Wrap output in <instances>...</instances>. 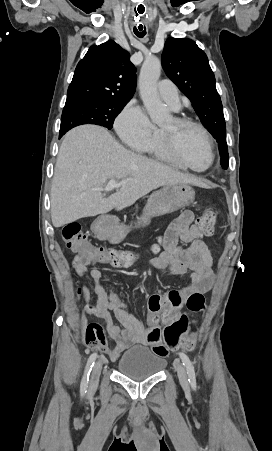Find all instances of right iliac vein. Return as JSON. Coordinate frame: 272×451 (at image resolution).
<instances>
[{
    "instance_id": "obj_1",
    "label": "right iliac vein",
    "mask_w": 272,
    "mask_h": 451,
    "mask_svg": "<svg viewBox=\"0 0 272 451\" xmlns=\"http://www.w3.org/2000/svg\"><path fill=\"white\" fill-rule=\"evenodd\" d=\"M101 370H102V364L100 362H97L91 373V381H90L89 391L93 390L95 388V386L98 384Z\"/></svg>"
}]
</instances>
